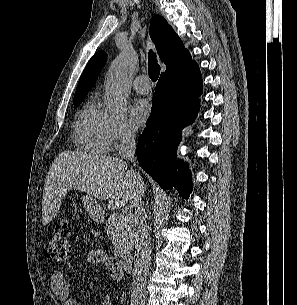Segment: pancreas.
<instances>
[{"label":"pancreas","instance_id":"cf45deb5","mask_svg":"<svg viewBox=\"0 0 297 305\" xmlns=\"http://www.w3.org/2000/svg\"><path fill=\"white\" fill-rule=\"evenodd\" d=\"M106 231L114 244V255L124 257L129 255L134 246V228L131 216L111 214L106 223Z\"/></svg>","mask_w":297,"mask_h":305}]
</instances>
